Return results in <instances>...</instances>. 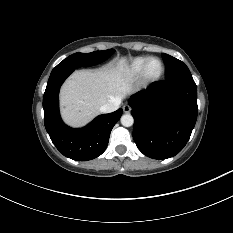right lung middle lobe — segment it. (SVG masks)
I'll use <instances>...</instances> for the list:
<instances>
[{
    "label": "right lung middle lobe",
    "instance_id": "obj_1",
    "mask_svg": "<svg viewBox=\"0 0 233 233\" xmlns=\"http://www.w3.org/2000/svg\"><path fill=\"white\" fill-rule=\"evenodd\" d=\"M114 53L113 49L104 51H94L91 53H75L61 63H59L52 71L75 69L79 67H88L105 61Z\"/></svg>",
    "mask_w": 233,
    "mask_h": 233
}]
</instances>
